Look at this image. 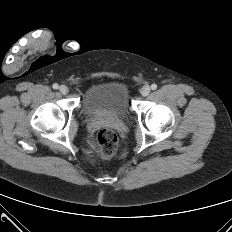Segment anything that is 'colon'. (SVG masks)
I'll return each mask as SVG.
<instances>
[{"mask_svg": "<svg viewBox=\"0 0 232 232\" xmlns=\"http://www.w3.org/2000/svg\"><path fill=\"white\" fill-rule=\"evenodd\" d=\"M99 153L103 158L112 157L118 148V137L110 128H102L97 133Z\"/></svg>", "mask_w": 232, "mask_h": 232, "instance_id": "5ec220e1", "label": "colon"}]
</instances>
